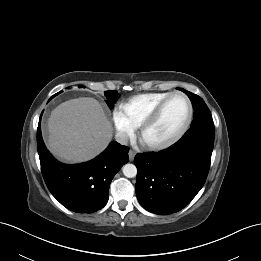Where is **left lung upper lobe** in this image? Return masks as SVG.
<instances>
[{
  "label": "left lung upper lobe",
  "instance_id": "5c2ea615",
  "mask_svg": "<svg viewBox=\"0 0 261 261\" xmlns=\"http://www.w3.org/2000/svg\"><path fill=\"white\" fill-rule=\"evenodd\" d=\"M183 91L190 98L194 114L193 121L190 128H207L215 130L210 110L205 104L204 100L196 94H193L182 88H177Z\"/></svg>",
  "mask_w": 261,
  "mask_h": 261
}]
</instances>
